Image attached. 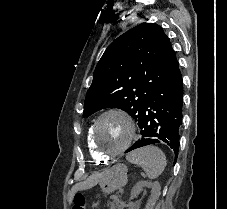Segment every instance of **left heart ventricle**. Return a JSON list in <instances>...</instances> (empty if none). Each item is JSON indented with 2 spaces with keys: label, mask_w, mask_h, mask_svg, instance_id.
<instances>
[{
  "label": "left heart ventricle",
  "mask_w": 227,
  "mask_h": 209,
  "mask_svg": "<svg viewBox=\"0 0 227 209\" xmlns=\"http://www.w3.org/2000/svg\"><path fill=\"white\" fill-rule=\"evenodd\" d=\"M131 127L128 121L119 114H109L99 123L96 139L105 152L116 151L129 139Z\"/></svg>",
  "instance_id": "b2bd125f"
}]
</instances>
